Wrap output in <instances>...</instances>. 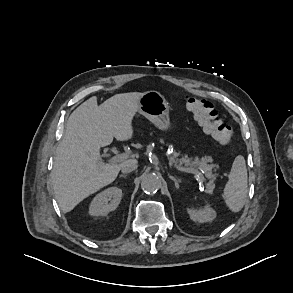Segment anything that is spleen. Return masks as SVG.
Segmentation results:
<instances>
[{"label":"spleen","mask_w":293,"mask_h":293,"mask_svg":"<svg viewBox=\"0 0 293 293\" xmlns=\"http://www.w3.org/2000/svg\"><path fill=\"white\" fill-rule=\"evenodd\" d=\"M247 168L243 156L238 155L231 168L229 179L224 188L223 198L232 212H239L247 198Z\"/></svg>","instance_id":"3e777b00"}]
</instances>
